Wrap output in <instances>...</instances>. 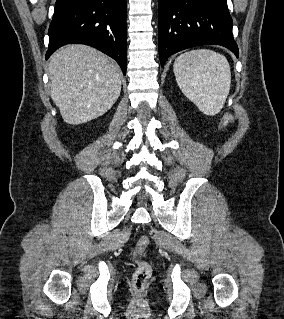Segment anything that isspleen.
Returning a JSON list of instances; mask_svg holds the SVG:
<instances>
[{"label": "spleen", "instance_id": "3e777b00", "mask_svg": "<svg viewBox=\"0 0 284 319\" xmlns=\"http://www.w3.org/2000/svg\"><path fill=\"white\" fill-rule=\"evenodd\" d=\"M173 71L179 88L205 115L223 108L229 94L231 71L227 59L212 50L199 49L181 54Z\"/></svg>", "mask_w": 284, "mask_h": 319}]
</instances>
